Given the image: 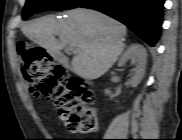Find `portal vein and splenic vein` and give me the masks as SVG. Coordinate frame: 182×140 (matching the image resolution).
<instances>
[{"label":"portal vein and splenic vein","instance_id":"18ae733b","mask_svg":"<svg viewBox=\"0 0 182 140\" xmlns=\"http://www.w3.org/2000/svg\"><path fill=\"white\" fill-rule=\"evenodd\" d=\"M62 45H65V44H62ZM70 48H72V45L70 46Z\"/></svg>","mask_w":182,"mask_h":140}]
</instances>
